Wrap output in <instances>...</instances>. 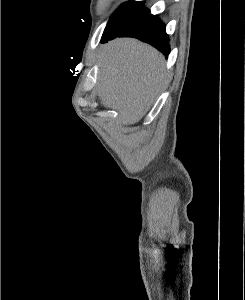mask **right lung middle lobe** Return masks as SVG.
Listing matches in <instances>:
<instances>
[{
  "instance_id": "1",
  "label": "right lung middle lobe",
  "mask_w": 245,
  "mask_h": 300,
  "mask_svg": "<svg viewBox=\"0 0 245 300\" xmlns=\"http://www.w3.org/2000/svg\"><path fill=\"white\" fill-rule=\"evenodd\" d=\"M150 13V10L143 6L142 2H127L112 15L108 22L102 38L118 34L143 19Z\"/></svg>"
}]
</instances>
